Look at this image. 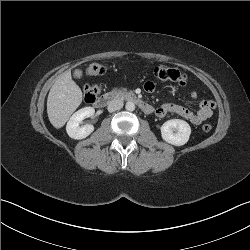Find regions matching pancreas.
Segmentation results:
<instances>
[{"label": "pancreas", "instance_id": "1", "mask_svg": "<svg viewBox=\"0 0 250 250\" xmlns=\"http://www.w3.org/2000/svg\"><path fill=\"white\" fill-rule=\"evenodd\" d=\"M126 92H127L126 89H122V90L113 89L112 94L115 95V96H117V97H120L123 94H125Z\"/></svg>", "mask_w": 250, "mask_h": 250}]
</instances>
